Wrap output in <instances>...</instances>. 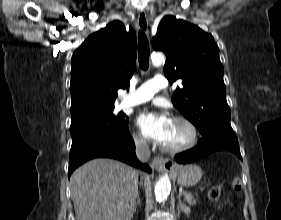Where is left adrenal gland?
<instances>
[{"instance_id": "left-adrenal-gland-1", "label": "left adrenal gland", "mask_w": 281, "mask_h": 220, "mask_svg": "<svg viewBox=\"0 0 281 220\" xmlns=\"http://www.w3.org/2000/svg\"><path fill=\"white\" fill-rule=\"evenodd\" d=\"M180 197H181V194L178 195V206H177V208H178V213H180V212L182 211V212H184V213L188 216V214H189V208H188L185 204H183V203L181 202Z\"/></svg>"}]
</instances>
